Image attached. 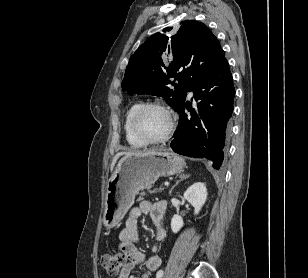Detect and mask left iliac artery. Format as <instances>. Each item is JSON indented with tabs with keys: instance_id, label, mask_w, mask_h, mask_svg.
Segmentation results:
<instances>
[{
	"instance_id": "1",
	"label": "left iliac artery",
	"mask_w": 308,
	"mask_h": 278,
	"mask_svg": "<svg viewBox=\"0 0 308 278\" xmlns=\"http://www.w3.org/2000/svg\"><path fill=\"white\" fill-rule=\"evenodd\" d=\"M163 274H164L163 270H159L157 272L156 278H162Z\"/></svg>"
}]
</instances>
